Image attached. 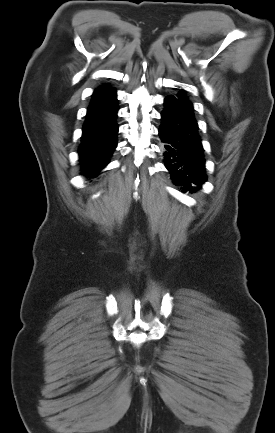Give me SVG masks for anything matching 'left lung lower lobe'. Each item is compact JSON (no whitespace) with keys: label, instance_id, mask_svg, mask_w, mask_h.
<instances>
[{"label":"left lung lower lobe","instance_id":"left-lung-lower-lobe-1","mask_svg":"<svg viewBox=\"0 0 275 433\" xmlns=\"http://www.w3.org/2000/svg\"><path fill=\"white\" fill-rule=\"evenodd\" d=\"M159 136L164 144L165 167L182 191L196 192L207 180L204 149L193 105L183 91L164 101Z\"/></svg>","mask_w":275,"mask_h":433}]
</instances>
